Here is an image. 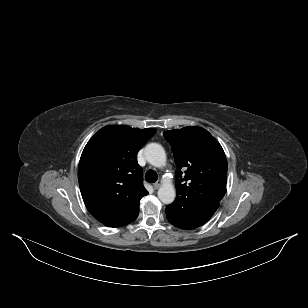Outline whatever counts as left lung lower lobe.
<instances>
[{
	"label": "left lung lower lobe",
	"instance_id": "0a47b994",
	"mask_svg": "<svg viewBox=\"0 0 308 308\" xmlns=\"http://www.w3.org/2000/svg\"><path fill=\"white\" fill-rule=\"evenodd\" d=\"M218 206L219 204H216L185 216L168 213L167 210L165 212L166 217L171 224L181 229L190 230L205 224L212 217Z\"/></svg>",
	"mask_w": 308,
	"mask_h": 308
}]
</instances>
